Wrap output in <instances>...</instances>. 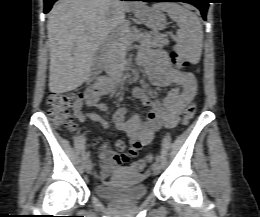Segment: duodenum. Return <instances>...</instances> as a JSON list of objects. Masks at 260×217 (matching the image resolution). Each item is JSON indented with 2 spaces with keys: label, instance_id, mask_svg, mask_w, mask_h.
I'll return each mask as SVG.
<instances>
[{
  "label": "duodenum",
  "instance_id": "obj_1",
  "mask_svg": "<svg viewBox=\"0 0 260 217\" xmlns=\"http://www.w3.org/2000/svg\"><path fill=\"white\" fill-rule=\"evenodd\" d=\"M101 50L102 48L99 47L98 50L96 51V59L94 61V65H96L101 58ZM124 75L120 74L118 75V78H123ZM117 79H113L110 77H103L98 79L97 81H95L94 83H92L89 87L88 90H97V91H101V92H109L113 86L115 85V83L117 82Z\"/></svg>",
  "mask_w": 260,
  "mask_h": 217
}]
</instances>
